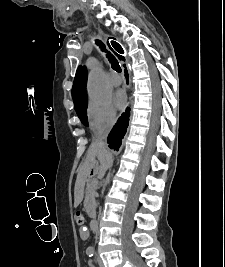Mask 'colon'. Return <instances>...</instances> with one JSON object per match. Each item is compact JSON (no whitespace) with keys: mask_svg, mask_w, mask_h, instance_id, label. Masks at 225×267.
I'll return each mask as SVG.
<instances>
[{"mask_svg":"<svg viewBox=\"0 0 225 267\" xmlns=\"http://www.w3.org/2000/svg\"><path fill=\"white\" fill-rule=\"evenodd\" d=\"M75 222L76 224L81 227L84 224V217L81 213L77 212L75 216Z\"/></svg>","mask_w":225,"mask_h":267,"instance_id":"obj_1","label":"colon"}]
</instances>
